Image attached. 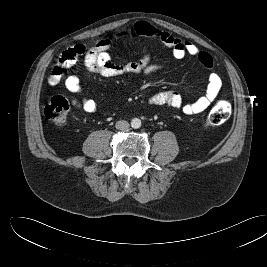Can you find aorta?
Returning <instances> with one entry per match:
<instances>
[{
    "mask_svg": "<svg viewBox=\"0 0 267 267\" xmlns=\"http://www.w3.org/2000/svg\"><path fill=\"white\" fill-rule=\"evenodd\" d=\"M131 126H132V128H134V129H138V128H140V127H141V120L138 119V118H133V119L131 120Z\"/></svg>",
    "mask_w": 267,
    "mask_h": 267,
    "instance_id": "aorta-1",
    "label": "aorta"
}]
</instances>
